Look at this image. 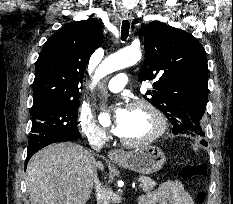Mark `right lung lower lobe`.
<instances>
[{"label":"right lung lower lobe","instance_id":"98d812e1","mask_svg":"<svg viewBox=\"0 0 233 204\" xmlns=\"http://www.w3.org/2000/svg\"><path fill=\"white\" fill-rule=\"evenodd\" d=\"M79 137H67V138H61V139H58V140H56V141H54V142H52V143H55V142H63V141H73V140H76V139H78ZM37 151H35V152H33V151H28L27 152V158H26V160H25V167L27 166V163H28V161L30 160V158L32 157V155L34 154V153H36Z\"/></svg>","mask_w":233,"mask_h":204}]
</instances>
